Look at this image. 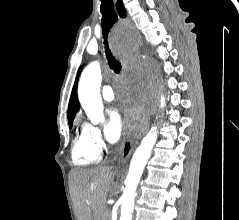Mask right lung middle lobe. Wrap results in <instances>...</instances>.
<instances>
[{
	"label": "right lung middle lobe",
	"mask_w": 239,
	"mask_h": 220,
	"mask_svg": "<svg viewBox=\"0 0 239 220\" xmlns=\"http://www.w3.org/2000/svg\"><path fill=\"white\" fill-rule=\"evenodd\" d=\"M69 122V127L71 128L72 127V123H73V119L68 121Z\"/></svg>",
	"instance_id": "obj_1"
}]
</instances>
